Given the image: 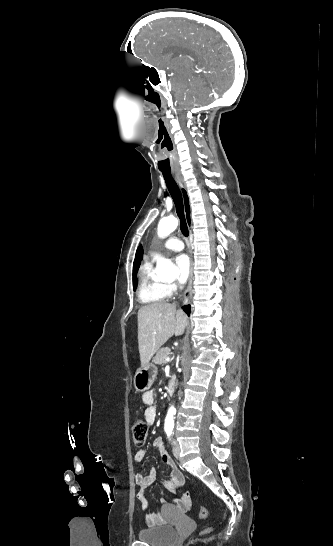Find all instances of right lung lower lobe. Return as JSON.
<instances>
[{
  "instance_id": "obj_1",
  "label": "right lung lower lobe",
  "mask_w": 333,
  "mask_h": 546,
  "mask_svg": "<svg viewBox=\"0 0 333 546\" xmlns=\"http://www.w3.org/2000/svg\"><path fill=\"white\" fill-rule=\"evenodd\" d=\"M183 309L188 315L190 314V305L183 307Z\"/></svg>"
}]
</instances>
